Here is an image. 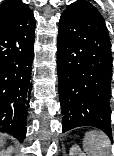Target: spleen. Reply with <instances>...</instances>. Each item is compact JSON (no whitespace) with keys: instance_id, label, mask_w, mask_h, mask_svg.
Wrapping results in <instances>:
<instances>
[{"instance_id":"spleen-1","label":"spleen","mask_w":114,"mask_h":156,"mask_svg":"<svg viewBox=\"0 0 114 156\" xmlns=\"http://www.w3.org/2000/svg\"><path fill=\"white\" fill-rule=\"evenodd\" d=\"M110 139L102 131H89L83 139L87 156H110Z\"/></svg>"}]
</instances>
